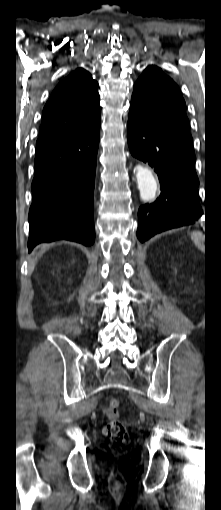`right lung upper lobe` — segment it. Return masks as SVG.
I'll return each mask as SVG.
<instances>
[{
	"mask_svg": "<svg viewBox=\"0 0 221 510\" xmlns=\"http://www.w3.org/2000/svg\"><path fill=\"white\" fill-rule=\"evenodd\" d=\"M98 83L77 68L54 89L43 109L36 146L80 133L100 119Z\"/></svg>",
	"mask_w": 221,
	"mask_h": 510,
	"instance_id": "cb5924a9",
	"label": "right lung upper lobe"
}]
</instances>
